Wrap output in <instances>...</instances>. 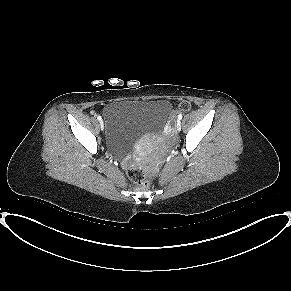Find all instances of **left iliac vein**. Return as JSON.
Instances as JSON below:
<instances>
[{
  "label": "left iliac vein",
  "mask_w": 291,
  "mask_h": 291,
  "mask_svg": "<svg viewBox=\"0 0 291 291\" xmlns=\"http://www.w3.org/2000/svg\"><path fill=\"white\" fill-rule=\"evenodd\" d=\"M176 129H177V131H180L181 130V123H180V121H177V123H176Z\"/></svg>",
  "instance_id": "1"
}]
</instances>
